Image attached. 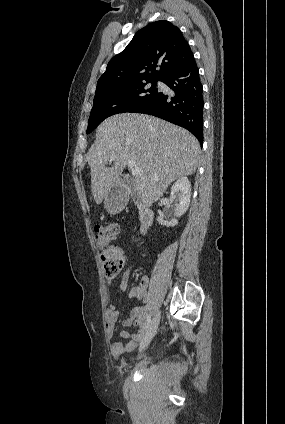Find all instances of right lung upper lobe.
<instances>
[{"mask_svg":"<svg viewBox=\"0 0 285 424\" xmlns=\"http://www.w3.org/2000/svg\"><path fill=\"white\" fill-rule=\"evenodd\" d=\"M192 59L189 44L178 27L165 20L152 22L139 30L127 47L109 61L96 91L114 85L162 80Z\"/></svg>","mask_w":285,"mask_h":424,"instance_id":"obj_1","label":"right lung upper lobe"}]
</instances>
